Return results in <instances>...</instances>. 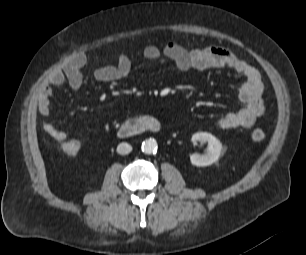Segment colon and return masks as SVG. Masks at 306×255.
Wrapping results in <instances>:
<instances>
[{
  "label": "colon",
  "mask_w": 306,
  "mask_h": 255,
  "mask_svg": "<svg viewBox=\"0 0 306 255\" xmlns=\"http://www.w3.org/2000/svg\"><path fill=\"white\" fill-rule=\"evenodd\" d=\"M251 138L254 141H261L265 138V132L261 128H255L251 132ZM61 150L67 157H74L80 150V143L77 140H69L61 144Z\"/></svg>",
  "instance_id": "5ec220e1"
}]
</instances>
